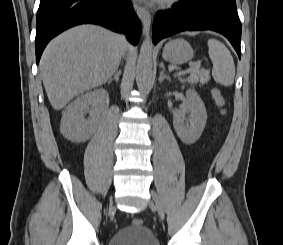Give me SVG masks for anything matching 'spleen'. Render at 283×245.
<instances>
[{"instance_id": "obj_1", "label": "spleen", "mask_w": 283, "mask_h": 245, "mask_svg": "<svg viewBox=\"0 0 283 245\" xmlns=\"http://www.w3.org/2000/svg\"><path fill=\"white\" fill-rule=\"evenodd\" d=\"M208 54L213 63L212 76L220 85L231 86L234 83L235 65L228 48L216 39H209Z\"/></svg>"}]
</instances>
